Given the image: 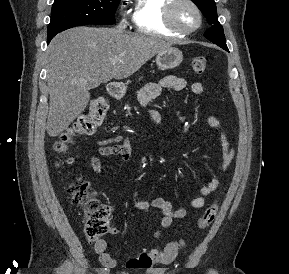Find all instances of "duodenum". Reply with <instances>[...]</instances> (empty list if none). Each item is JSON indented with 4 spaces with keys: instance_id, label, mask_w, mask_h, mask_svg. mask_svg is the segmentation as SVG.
<instances>
[{
    "instance_id": "1",
    "label": "duodenum",
    "mask_w": 289,
    "mask_h": 274,
    "mask_svg": "<svg viewBox=\"0 0 289 274\" xmlns=\"http://www.w3.org/2000/svg\"><path fill=\"white\" fill-rule=\"evenodd\" d=\"M109 94L113 98H118L121 95V89L118 85L116 84H110L108 87Z\"/></svg>"
}]
</instances>
